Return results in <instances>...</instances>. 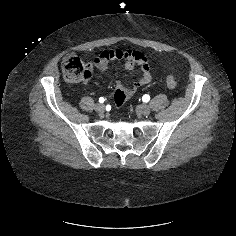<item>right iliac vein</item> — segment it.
<instances>
[{"label":"right iliac vein","instance_id":"63e3f726","mask_svg":"<svg viewBox=\"0 0 236 236\" xmlns=\"http://www.w3.org/2000/svg\"><path fill=\"white\" fill-rule=\"evenodd\" d=\"M95 110L98 113H103L105 111V106L103 104H97L95 106Z\"/></svg>","mask_w":236,"mask_h":236}]
</instances>
